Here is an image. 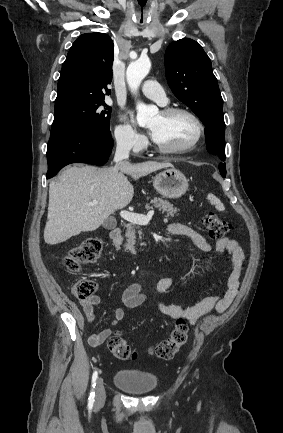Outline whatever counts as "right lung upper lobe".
<instances>
[{
	"label": "right lung upper lobe",
	"instance_id": "cb5924a9",
	"mask_svg": "<svg viewBox=\"0 0 283 433\" xmlns=\"http://www.w3.org/2000/svg\"><path fill=\"white\" fill-rule=\"evenodd\" d=\"M113 41L104 33L83 34L73 43L58 81L55 111L104 100L111 94Z\"/></svg>",
	"mask_w": 283,
	"mask_h": 433
}]
</instances>
